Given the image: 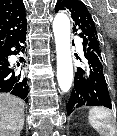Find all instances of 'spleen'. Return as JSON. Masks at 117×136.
I'll list each match as a JSON object with an SVG mask.
<instances>
[{
    "label": "spleen",
    "mask_w": 117,
    "mask_h": 136,
    "mask_svg": "<svg viewBox=\"0 0 117 136\" xmlns=\"http://www.w3.org/2000/svg\"><path fill=\"white\" fill-rule=\"evenodd\" d=\"M90 125L103 136H114L116 132L114 118L111 112L103 107H93L89 111Z\"/></svg>",
    "instance_id": "1"
}]
</instances>
